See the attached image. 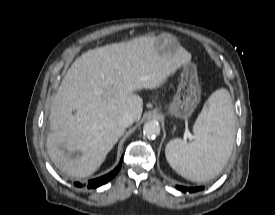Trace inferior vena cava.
Here are the masks:
<instances>
[{"label":"inferior vena cava","instance_id":"inferior-vena-cava-1","mask_svg":"<svg viewBox=\"0 0 275 215\" xmlns=\"http://www.w3.org/2000/svg\"><path fill=\"white\" fill-rule=\"evenodd\" d=\"M134 117L131 112H125L119 119L118 125L122 127H129L133 124Z\"/></svg>","mask_w":275,"mask_h":215}]
</instances>
